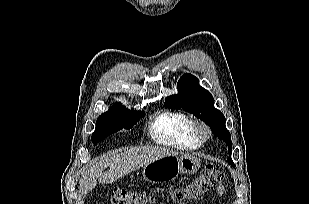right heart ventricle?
<instances>
[{
  "mask_svg": "<svg viewBox=\"0 0 309 204\" xmlns=\"http://www.w3.org/2000/svg\"><path fill=\"white\" fill-rule=\"evenodd\" d=\"M193 121L183 112L165 110L150 125V135L158 143L193 149L200 146L192 131Z\"/></svg>",
  "mask_w": 309,
  "mask_h": 204,
  "instance_id": "right-heart-ventricle-1",
  "label": "right heart ventricle"
}]
</instances>
